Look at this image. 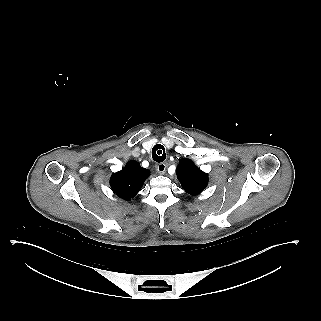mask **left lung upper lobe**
<instances>
[{"mask_svg":"<svg viewBox=\"0 0 321 321\" xmlns=\"http://www.w3.org/2000/svg\"><path fill=\"white\" fill-rule=\"evenodd\" d=\"M176 172L182 187L191 195L201 193L208 184V174L201 171L190 159H182Z\"/></svg>","mask_w":321,"mask_h":321,"instance_id":"1","label":"left lung upper lobe"}]
</instances>
